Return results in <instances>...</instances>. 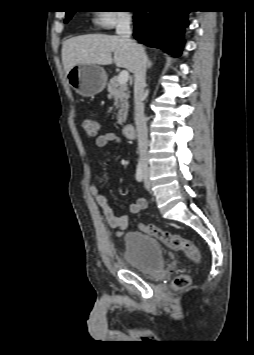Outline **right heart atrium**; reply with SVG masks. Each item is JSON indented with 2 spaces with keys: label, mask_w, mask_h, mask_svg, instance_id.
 Returning a JSON list of instances; mask_svg holds the SVG:
<instances>
[{
  "label": "right heart atrium",
  "mask_w": 254,
  "mask_h": 355,
  "mask_svg": "<svg viewBox=\"0 0 254 355\" xmlns=\"http://www.w3.org/2000/svg\"><path fill=\"white\" fill-rule=\"evenodd\" d=\"M130 22L131 15L127 11L101 10L95 18V23L105 29H112Z\"/></svg>",
  "instance_id": "obj_1"
}]
</instances>
